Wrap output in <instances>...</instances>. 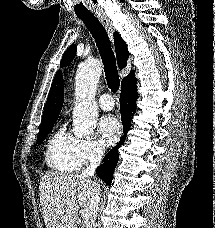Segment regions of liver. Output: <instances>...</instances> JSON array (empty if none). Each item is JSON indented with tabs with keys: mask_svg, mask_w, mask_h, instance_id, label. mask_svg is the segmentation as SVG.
Returning a JSON list of instances; mask_svg holds the SVG:
<instances>
[{
	"mask_svg": "<svg viewBox=\"0 0 215 228\" xmlns=\"http://www.w3.org/2000/svg\"><path fill=\"white\" fill-rule=\"evenodd\" d=\"M92 184L90 176L81 174L53 172L42 176L39 196L46 228H76L79 206L90 212Z\"/></svg>",
	"mask_w": 215,
	"mask_h": 228,
	"instance_id": "1",
	"label": "liver"
}]
</instances>
